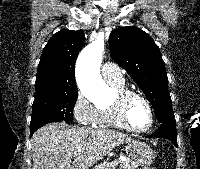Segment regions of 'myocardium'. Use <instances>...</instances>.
<instances>
[{
    "label": "myocardium",
    "instance_id": "obj_1",
    "mask_svg": "<svg viewBox=\"0 0 200 169\" xmlns=\"http://www.w3.org/2000/svg\"><path fill=\"white\" fill-rule=\"evenodd\" d=\"M133 98L141 99L148 107V110L150 113V121L146 127L136 128L130 123V120L128 117V105H129V102L131 101V99H133ZM114 104L116 106L118 117H119L121 123L129 131L136 132V133H142V132L148 131L153 126L154 120H155L153 106H152L151 102L149 101V99L141 92H138L135 90H130V89H125L123 91H120V92H118V95H117V98H116Z\"/></svg>",
    "mask_w": 200,
    "mask_h": 169
}]
</instances>
